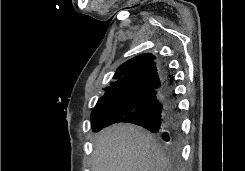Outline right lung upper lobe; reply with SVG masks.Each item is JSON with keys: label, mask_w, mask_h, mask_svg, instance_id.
I'll return each instance as SVG.
<instances>
[{"label": "right lung upper lobe", "mask_w": 245, "mask_h": 171, "mask_svg": "<svg viewBox=\"0 0 245 171\" xmlns=\"http://www.w3.org/2000/svg\"><path fill=\"white\" fill-rule=\"evenodd\" d=\"M154 59L152 54L145 53L123 63L113 77L115 80L104 89L106 93L98 103L112 99L128 100L160 89L164 84L163 66H156Z\"/></svg>", "instance_id": "cb5924a9"}]
</instances>
